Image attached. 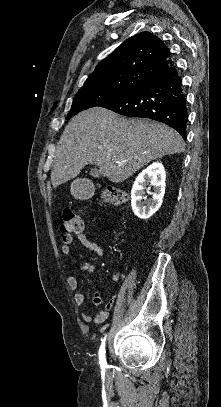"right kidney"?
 <instances>
[{
	"instance_id": "1",
	"label": "right kidney",
	"mask_w": 221,
	"mask_h": 407,
	"mask_svg": "<svg viewBox=\"0 0 221 407\" xmlns=\"http://www.w3.org/2000/svg\"><path fill=\"white\" fill-rule=\"evenodd\" d=\"M165 179L164 166L160 162L152 163L137 176L131 190V206L138 218L148 219L158 211L165 194ZM147 185L152 186L154 192H149L152 198L143 202Z\"/></svg>"
}]
</instances>
